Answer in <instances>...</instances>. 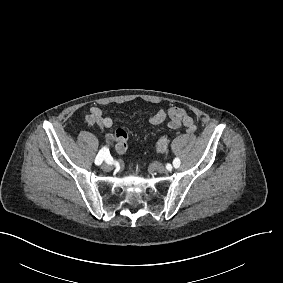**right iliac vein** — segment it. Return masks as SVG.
<instances>
[{
    "label": "right iliac vein",
    "instance_id": "obj_1",
    "mask_svg": "<svg viewBox=\"0 0 283 283\" xmlns=\"http://www.w3.org/2000/svg\"><path fill=\"white\" fill-rule=\"evenodd\" d=\"M102 169H103L104 171H106V172H109V171H111V170L113 169V167H112V165H110V164L104 163V164L102 165Z\"/></svg>",
    "mask_w": 283,
    "mask_h": 283
}]
</instances>
